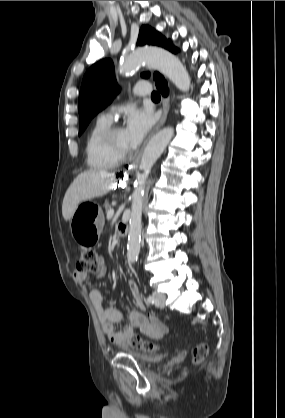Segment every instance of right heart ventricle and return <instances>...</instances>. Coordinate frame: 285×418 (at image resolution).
Wrapping results in <instances>:
<instances>
[{"label": "right heart ventricle", "instance_id": "right-heart-ventricle-1", "mask_svg": "<svg viewBox=\"0 0 285 418\" xmlns=\"http://www.w3.org/2000/svg\"><path fill=\"white\" fill-rule=\"evenodd\" d=\"M108 124V119L100 117L86 135L85 156L89 168L95 171L110 169L120 163V160L111 157L100 143V135Z\"/></svg>", "mask_w": 285, "mask_h": 418}]
</instances>
